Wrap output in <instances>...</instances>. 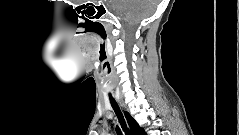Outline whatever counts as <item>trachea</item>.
I'll use <instances>...</instances> for the list:
<instances>
[{
    "label": "trachea",
    "instance_id": "trachea-1",
    "mask_svg": "<svg viewBox=\"0 0 239 135\" xmlns=\"http://www.w3.org/2000/svg\"><path fill=\"white\" fill-rule=\"evenodd\" d=\"M109 97H110L111 105H112V107H113V109H114V111H115V113H116V115H117V117H118V119H119V122H120V124H121L122 129L124 130V132H125L126 134H129V131H128L127 127H126V122H125V120H124V117H123L122 112H121L120 109H119V106H118L117 102H116L115 99L111 96V94H109Z\"/></svg>",
    "mask_w": 239,
    "mask_h": 135
}]
</instances>
